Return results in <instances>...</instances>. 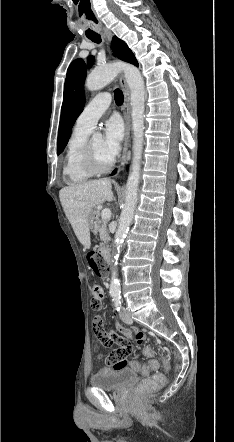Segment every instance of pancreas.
Returning <instances> with one entry per match:
<instances>
[{
    "mask_svg": "<svg viewBox=\"0 0 234 442\" xmlns=\"http://www.w3.org/2000/svg\"><path fill=\"white\" fill-rule=\"evenodd\" d=\"M96 215H98V212H96ZM97 224H98V231H99V234H100V239L102 241V247H103V246H105V244L108 243L109 238H110L109 237V232H108V229H107L108 222H107V220L101 219V220L97 221Z\"/></svg>",
    "mask_w": 234,
    "mask_h": 442,
    "instance_id": "1",
    "label": "pancreas"
}]
</instances>
